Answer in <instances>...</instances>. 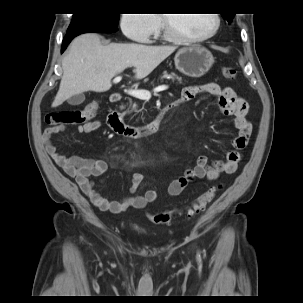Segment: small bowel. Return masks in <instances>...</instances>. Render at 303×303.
I'll return each mask as SVG.
<instances>
[{
    "instance_id": "1",
    "label": "small bowel",
    "mask_w": 303,
    "mask_h": 303,
    "mask_svg": "<svg viewBox=\"0 0 303 303\" xmlns=\"http://www.w3.org/2000/svg\"><path fill=\"white\" fill-rule=\"evenodd\" d=\"M201 95L215 97L218 100L220 111L223 115H235L234 126L238 130V133L233 137L231 142L234 149L226 153L224 160H216L211 165L208 164L204 156L197 157L192 168L186 170L182 176L170 182L168 193L171 196L180 195L195 179L206 178L214 181L222 173L232 174L236 172L241 161L240 150L247 147L252 133V125L246 118V103L230 87L223 88L216 83L187 86L182 89L181 97L177 101V104L186 103ZM102 127L103 123L101 121L92 120L78 125L76 130L79 133H89ZM66 128L65 125L46 128L43 131L44 146L52 160L68 176L75 177L83 193L100 210L120 213L131 208L144 209L149 203L157 200L158 194L154 190H148L145 195H133L143 182V176L140 173H134L131 176L130 192L132 195L128 196L125 200L111 201L101 196L90 177L105 173L108 168L107 162L101 159H87L81 156H63L53 145L52 136Z\"/></svg>"
}]
</instances>
